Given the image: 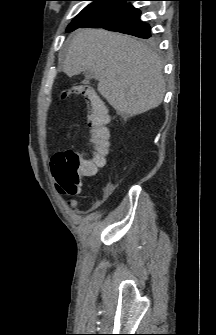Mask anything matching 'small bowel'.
Here are the masks:
<instances>
[{"label":"small bowel","mask_w":216,"mask_h":335,"mask_svg":"<svg viewBox=\"0 0 216 335\" xmlns=\"http://www.w3.org/2000/svg\"><path fill=\"white\" fill-rule=\"evenodd\" d=\"M81 162H84L85 159H97V158H91V154L89 152L83 151V150H78ZM107 159V158H106ZM51 170H52V165L50 164Z\"/></svg>","instance_id":"c3829d8e"}]
</instances>
